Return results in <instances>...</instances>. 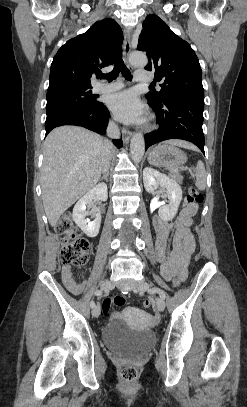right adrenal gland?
<instances>
[{"mask_svg": "<svg viewBox=\"0 0 247 407\" xmlns=\"http://www.w3.org/2000/svg\"><path fill=\"white\" fill-rule=\"evenodd\" d=\"M100 179H101V180H105L106 182H108V172L105 173V174L103 175V177H101Z\"/></svg>", "mask_w": 247, "mask_h": 407, "instance_id": "obj_1", "label": "right adrenal gland"}]
</instances>
